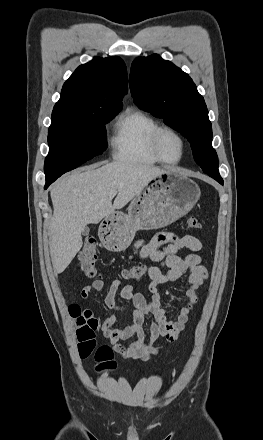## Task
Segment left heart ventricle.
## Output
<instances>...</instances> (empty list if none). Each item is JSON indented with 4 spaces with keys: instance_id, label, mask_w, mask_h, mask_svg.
Listing matches in <instances>:
<instances>
[{
    "instance_id": "1",
    "label": "left heart ventricle",
    "mask_w": 263,
    "mask_h": 440,
    "mask_svg": "<svg viewBox=\"0 0 263 440\" xmlns=\"http://www.w3.org/2000/svg\"><path fill=\"white\" fill-rule=\"evenodd\" d=\"M160 151L163 157L169 161H175L180 157L181 144L176 136L169 132L162 134L159 142Z\"/></svg>"
}]
</instances>
